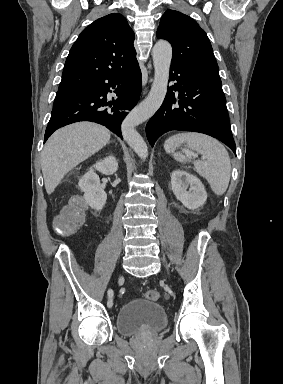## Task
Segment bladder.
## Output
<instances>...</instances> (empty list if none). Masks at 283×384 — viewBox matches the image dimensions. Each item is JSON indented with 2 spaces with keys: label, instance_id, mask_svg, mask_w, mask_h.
I'll list each match as a JSON object with an SVG mask.
<instances>
[{
  "label": "bladder",
  "instance_id": "obj_1",
  "mask_svg": "<svg viewBox=\"0 0 283 384\" xmlns=\"http://www.w3.org/2000/svg\"><path fill=\"white\" fill-rule=\"evenodd\" d=\"M167 320L161 303L134 298L117 310L116 330L122 335H155L166 327Z\"/></svg>",
  "mask_w": 283,
  "mask_h": 384
}]
</instances>
